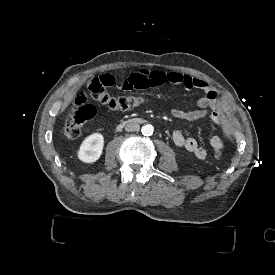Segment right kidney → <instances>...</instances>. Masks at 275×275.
<instances>
[{
    "label": "right kidney",
    "mask_w": 275,
    "mask_h": 275,
    "mask_svg": "<svg viewBox=\"0 0 275 275\" xmlns=\"http://www.w3.org/2000/svg\"><path fill=\"white\" fill-rule=\"evenodd\" d=\"M104 146V138L100 133H93L86 137L78 151V158L85 163H92L99 159Z\"/></svg>",
    "instance_id": "ca27d5eb"
}]
</instances>
